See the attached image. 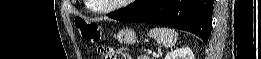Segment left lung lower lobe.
<instances>
[{"label":"left lung lower lobe","instance_id":"0a47b994","mask_svg":"<svg viewBox=\"0 0 261 59\" xmlns=\"http://www.w3.org/2000/svg\"><path fill=\"white\" fill-rule=\"evenodd\" d=\"M213 0H136L109 14L127 22H149L181 29L199 36L205 44L211 34Z\"/></svg>","mask_w":261,"mask_h":59}]
</instances>
